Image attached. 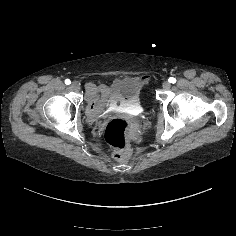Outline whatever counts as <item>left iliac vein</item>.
I'll return each instance as SVG.
<instances>
[{
    "label": "left iliac vein",
    "mask_w": 236,
    "mask_h": 236,
    "mask_svg": "<svg viewBox=\"0 0 236 236\" xmlns=\"http://www.w3.org/2000/svg\"><path fill=\"white\" fill-rule=\"evenodd\" d=\"M162 86L165 90H168L171 87V84L168 81H165L163 82Z\"/></svg>",
    "instance_id": "1"
}]
</instances>
